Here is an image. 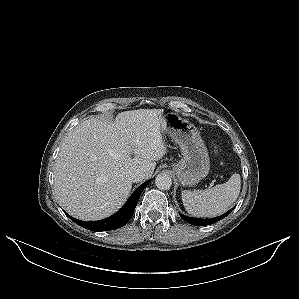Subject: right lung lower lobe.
I'll return each instance as SVG.
<instances>
[{
	"instance_id": "1",
	"label": "right lung lower lobe",
	"mask_w": 299,
	"mask_h": 299,
	"mask_svg": "<svg viewBox=\"0 0 299 299\" xmlns=\"http://www.w3.org/2000/svg\"><path fill=\"white\" fill-rule=\"evenodd\" d=\"M150 180L144 182L141 186H139L134 193L130 196L128 201L125 203V205L115 214L112 216L99 220V221H93V222H85L78 220L76 218L71 217L67 213H65L72 221H74L76 224L90 230V231H108V230H114L117 228H120L124 226L132 217L134 210L136 208V205L138 203V200L140 198L141 193L145 189V187L149 184Z\"/></svg>"
}]
</instances>
